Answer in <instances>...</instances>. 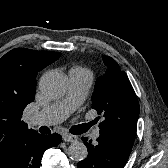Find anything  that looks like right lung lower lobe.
I'll return each mask as SVG.
<instances>
[{"mask_svg": "<svg viewBox=\"0 0 168 168\" xmlns=\"http://www.w3.org/2000/svg\"><path fill=\"white\" fill-rule=\"evenodd\" d=\"M59 134L42 135L36 131L18 139L0 159V168H39L46 149L57 146Z\"/></svg>", "mask_w": 168, "mask_h": 168, "instance_id": "obj_1", "label": "right lung lower lobe"}]
</instances>
